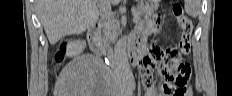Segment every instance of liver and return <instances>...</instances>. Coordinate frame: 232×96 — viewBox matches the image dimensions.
Returning <instances> with one entry per match:
<instances>
[{"mask_svg": "<svg viewBox=\"0 0 232 96\" xmlns=\"http://www.w3.org/2000/svg\"><path fill=\"white\" fill-rule=\"evenodd\" d=\"M99 4L101 0H36V10L49 42L55 44L89 29L98 20Z\"/></svg>", "mask_w": 232, "mask_h": 96, "instance_id": "6515ba94", "label": "liver"}]
</instances>
